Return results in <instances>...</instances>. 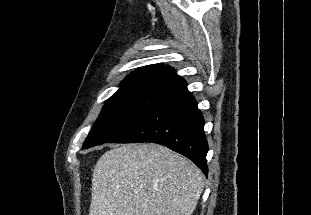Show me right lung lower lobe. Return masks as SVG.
<instances>
[{
	"instance_id": "98d812e1",
	"label": "right lung lower lobe",
	"mask_w": 311,
	"mask_h": 215,
	"mask_svg": "<svg viewBox=\"0 0 311 215\" xmlns=\"http://www.w3.org/2000/svg\"><path fill=\"white\" fill-rule=\"evenodd\" d=\"M203 126V115L181 78L143 118L111 142L161 144L189 158L207 175L208 143Z\"/></svg>"
}]
</instances>
